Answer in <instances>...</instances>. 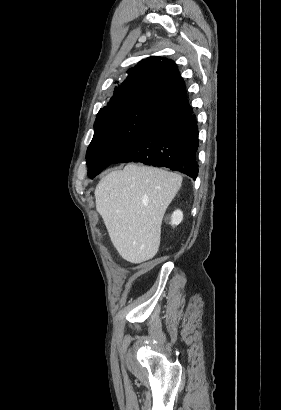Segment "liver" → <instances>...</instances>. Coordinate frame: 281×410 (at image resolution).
Segmentation results:
<instances>
[{
  "instance_id": "1",
  "label": "liver",
  "mask_w": 281,
  "mask_h": 410,
  "mask_svg": "<svg viewBox=\"0 0 281 410\" xmlns=\"http://www.w3.org/2000/svg\"><path fill=\"white\" fill-rule=\"evenodd\" d=\"M181 183L177 173L133 163L100 180L96 210L123 259L138 264L156 255L163 216Z\"/></svg>"
}]
</instances>
